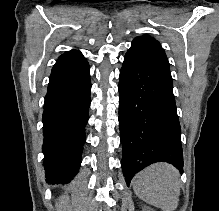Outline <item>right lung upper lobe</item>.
<instances>
[{
  "instance_id": "right-lung-upper-lobe-1",
  "label": "right lung upper lobe",
  "mask_w": 219,
  "mask_h": 211,
  "mask_svg": "<svg viewBox=\"0 0 219 211\" xmlns=\"http://www.w3.org/2000/svg\"><path fill=\"white\" fill-rule=\"evenodd\" d=\"M83 56L80 51L71 50L62 54L59 58H71V57H80Z\"/></svg>"
}]
</instances>
